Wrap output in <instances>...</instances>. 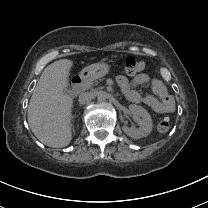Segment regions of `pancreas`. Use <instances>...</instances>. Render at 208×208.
I'll use <instances>...</instances> for the list:
<instances>
[{
    "instance_id": "pancreas-1",
    "label": "pancreas",
    "mask_w": 208,
    "mask_h": 208,
    "mask_svg": "<svg viewBox=\"0 0 208 208\" xmlns=\"http://www.w3.org/2000/svg\"><path fill=\"white\" fill-rule=\"evenodd\" d=\"M87 89L91 90L92 92H96V91L103 89V88L99 87V84L97 81H93L87 85Z\"/></svg>"
}]
</instances>
